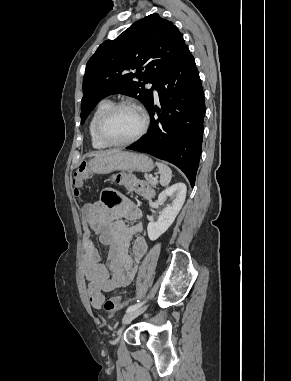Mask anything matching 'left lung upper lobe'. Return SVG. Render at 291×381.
Here are the masks:
<instances>
[{"instance_id": "1", "label": "left lung upper lobe", "mask_w": 291, "mask_h": 381, "mask_svg": "<svg viewBox=\"0 0 291 381\" xmlns=\"http://www.w3.org/2000/svg\"><path fill=\"white\" fill-rule=\"evenodd\" d=\"M187 48L178 28L158 14L103 42L86 66L81 122L101 99L112 94L134 97L147 108L153 99L152 90ZM145 83H152V90L145 89Z\"/></svg>"}]
</instances>
